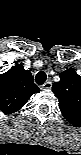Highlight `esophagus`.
<instances>
[{
	"label": "esophagus",
	"mask_w": 81,
	"mask_h": 155,
	"mask_svg": "<svg viewBox=\"0 0 81 155\" xmlns=\"http://www.w3.org/2000/svg\"><path fill=\"white\" fill-rule=\"evenodd\" d=\"M51 87H52L51 81H47V82H45V83L41 86V89H42V90H50Z\"/></svg>",
	"instance_id": "34e87169"
}]
</instances>
